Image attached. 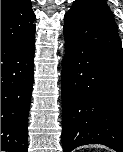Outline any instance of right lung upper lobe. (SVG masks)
Listing matches in <instances>:
<instances>
[{"label":"right lung upper lobe","mask_w":123,"mask_h":152,"mask_svg":"<svg viewBox=\"0 0 123 152\" xmlns=\"http://www.w3.org/2000/svg\"><path fill=\"white\" fill-rule=\"evenodd\" d=\"M34 18L30 0H1V46L35 33Z\"/></svg>","instance_id":"right-lung-upper-lobe-1"}]
</instances>
